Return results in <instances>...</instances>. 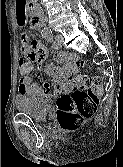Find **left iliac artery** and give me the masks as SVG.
Returning <instances> with one entry per match:
<instances>
[{"label": "left iliac artery", "mask_w": 123, "mask_h": 167, "mask_svg": "<svg viewBox=\"0 0 123 167\" xmlns=\"http://www.w3.org/2000/svg\"><path fill=\"white\" fill-rule=\"evenodd\" d=\"M48 42L52 43V47L55 48L56 44L54 41V37H53V33L51 31V29L48 30V32L46 34L42 35Z\"/></svg>", "instance_id": "obj_1"}]
</instances>
